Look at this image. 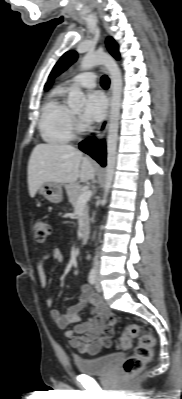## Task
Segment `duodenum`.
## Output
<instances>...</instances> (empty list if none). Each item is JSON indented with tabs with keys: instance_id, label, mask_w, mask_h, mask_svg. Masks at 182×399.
Segmentation results:
<instances>
[{
	"instance_id": "410a0bca",
	"label": "duodenum",
	"mask_w": 182,
	"mask_h": 399,
	"mask_svg": "<svg viewBox=\"0 0 182 399\" xmlns=\"http://www.w3.org/2000/svg\"><path fill=\"white\" fill-rule=\"evenodd\" d=\"M81 238H82V241H83V242H87L88 239H89V232H88L87 230H84V231L82 232Z\"/></svg>"
}]
</instances>
